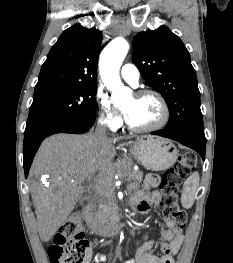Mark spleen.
I'll return each mask as SVG.
<instances>
[{
	"label": "spleen",
	"instance_id": "3e777b00",
	"mask_svg": "<svg viewBox=\"0 0 233 263\" xmlns=\"http://www.w3.org/2000/svg\"><path fill=\"white\" fill-rule=\"evenodd\" d=\"M199 180V174L193 173L186 179L184 183L181 204L186 209L191 208L194 204L195 194L199 187Z\"/></svg>",
	"mask_w": 233,
	"mask_h": 263
}]
</instances>
